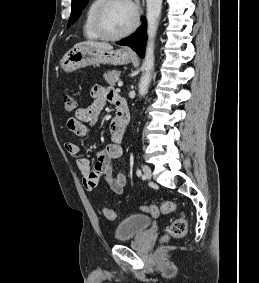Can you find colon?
Returning <instances> with one entry per match:
<instances>
[{
    "mask_svg": "<svg viewBox=\"0 0 259 283\" xmlns=\"http://www.w3.org/2000/svg\"><path fill=\"white\" fill-rule=\"evenodd\" d=\"M64 104H65V109L67 111H73L77 107L76 99L71 94L65 95ZM141 209L153 217H158L163 214H169L175 212L177 210V206L174 201L167 200L159 205L151 204V205L142 206ZM103 213L105 218L108 220H114L116 217L114 211L110 208H105L103 210ZM186 230H187L186 217L183 213H180L177 216V218L174 219L168 226L167 232L163 237V240L166 241L168 239L181 238L185 235Z\"/></svg>",
    "mask_w": 259,
    "mask_h": 283,
    "instance_id": "5ec220e1",
    "label": "colon"
}]
</instances>
